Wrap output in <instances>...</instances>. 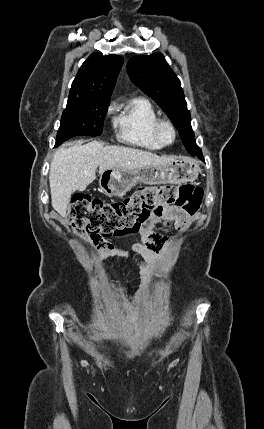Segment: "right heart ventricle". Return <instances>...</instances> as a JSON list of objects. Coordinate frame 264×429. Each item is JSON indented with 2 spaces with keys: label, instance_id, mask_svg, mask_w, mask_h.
<instances>
[{
  "label": "right heart ventricle",
  "instance_id": "right-heart-ventricle-1",
  "mask_svg": "<svg viewBox=\"0 0 264 429\" xmlns=\"http://www.w3.org/2000/svg\"><path fill=\"white\" fill-rule=\"evenodd\" d=\"M159 114L145 97H135L122 105L115 118L116 137L119 141L146 150H158L162 144L153 133Z\"/></svg>",
  "mask_w": 264,
  "mask_h": 429
}]
</instances>
